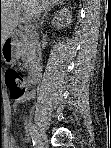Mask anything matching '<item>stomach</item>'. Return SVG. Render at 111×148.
I'll return each mask as SVG.
<instances>
[{"label": "stomach", "instance_id": "1", "mask_svg": "<svg viewBox=\"0 0 111 148\" xmlns=\"http://www.w3.org/2000/svg\"><path fill=\"white\" fill-rule=\"evenodd\" d=\"M1 59L7 64H11L12 62L15 61L13 52L12 51L8 52L7 50H5L4 52L2 51Z\"/></svg>", "mask_w": 111, "mask_h": 148}]
</instances>
